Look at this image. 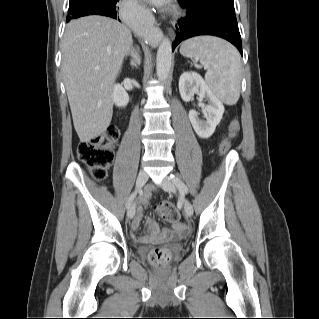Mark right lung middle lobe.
Masks as SVG:
<instances>
[{"instance_id":"obj_1","label":"right lung middle lobe","mask_w":319,"mask_h":319,"mask_svg":"<svg viewBox=\"0 0 319 319\" xmlns=\"http://www.w3.org/2000/svg\"><path fill=\"white\" fill-rule=\"evenodd\" d=\"M94 1H97V0H69V9H68L69 15L67 16L66 19H70L74 14L81 11L85 7L89 6Z\"/></svg>"}]
</instances>
